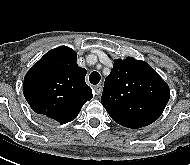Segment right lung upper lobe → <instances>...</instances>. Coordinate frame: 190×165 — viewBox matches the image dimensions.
<instances>
[{
    "instance_id": "right-lung-upper-lobe-1",
    "label": "right lung upper lobe",
    "mask_w": 190,
    "mask_h": 165,
    "mask_svg": "<svg viewBox=\"0 0 190 165\" xmlns=\"http://www.w3.org/2000/svg\"><path fill=\"white\" fill-rule=\"evenodd\" d=\"M76 62V52L60 46L34 64L23 83L24 96L33 111L60 124L77 117L93 95L84 80L86 70Z\"/></svg>"
}]
</instances>
